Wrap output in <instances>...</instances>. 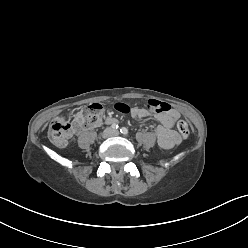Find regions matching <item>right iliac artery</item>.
I'll use <instances>...</instances> for the list:
<instances>
[{
	"label": "right iliac artery",
	"instance_id": "82829eb1",
	"mask_svg": "<svg viewBox=\"0 0 248 248\" xmlns=\"http://www.w3.org/2000/svg\"><path fill=\"white\" fill-rule=\"evenodd\" d=\"M111 127H112L113 129H117V128H118V124L113 123V124L111 125Z\"/></svg>",
	"mask_w": 248,
	"mask_h": 248
}]
</instances>
